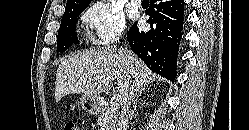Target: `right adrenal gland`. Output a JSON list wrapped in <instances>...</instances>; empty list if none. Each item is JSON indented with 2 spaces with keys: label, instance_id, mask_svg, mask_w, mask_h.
Returning a JSON list of instances; mask_svg holds the SVG:
<instances>
[{
  "label": "right adrenal gland",
  "instance_id": "1",
  "mask_svg": "<svg viewBox=\"0 0 249 130\" xmlns=\"http://www.w3.org/2000/svg\"><path fill=\"white\" fill-rule=\"evenodd\" d=\"M144 90H145V89H141V90L138 92L136 98L134 99L133 108H132V110H131V117L134 115L135 110H136V108H137V101H138V98L141 96V94H142V92H143Z\"/></svg>",
  "mask_w": 249,
  "mask_h": 130
}]
</instances>
